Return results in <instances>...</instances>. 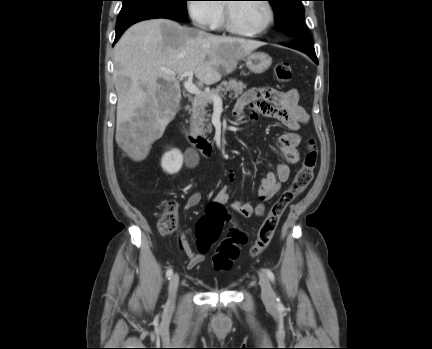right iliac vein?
Returning <instances> with one entry per match:
<instances>
[{"label": "right iliac vein", "mask_w": 432, "mask_h": 349, "mask_svg": "<svg viewBox=\"0 0 432 349\" xmlns=\"http://www.w3.org/2000/svg\"><path fill=\"white\" fill-rule=\"evenodd\" d=\"M178 285H179V276L178 274H173L170 278L169 286H168L169 297L167 301V307L169 309H172L175 306V297H176Z\"/></svg>", "instance_id": "63e3f726"}]
</instances>
